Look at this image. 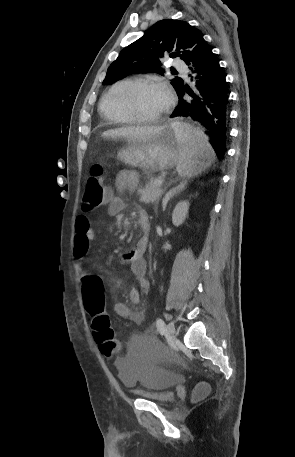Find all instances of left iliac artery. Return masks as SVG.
Here are the masks:
<instances>
[{
	"label": "left iliac artery",
	"instance_id": "44dca946",
	"mask_svg": "<svg viewBox=\"0 0 295 457\" xmlns=\"http://www.w3.org/2000/svg\"><path fill=\"white\" fill-rule=\"evenodd\" d=\"M156 326H157V329L160 332V334L163 335L166 332L165 322L161 318H158L156 320Z\"/></svg>",
	"mask_w": 295,
	"mask_h": 457
}]
</instances>
